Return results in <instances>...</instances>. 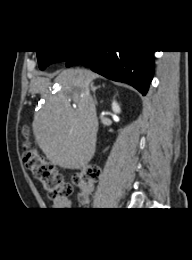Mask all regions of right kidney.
I'll use <instances>...</instances> for the list:
<instances>
[{
	"label": "right kidney",
	"mask_w": 192,
	"mask_h": 260,
	"mask_svg": "<svg viewBox=\"0 0 192 260\" xmlns=\"http://www.w3.org/2000/svg\"><path fill=\"white\" fill-rule=\"evenodd\" d=\"M112 110L114 113H120L121 109L116 101L112 102Z\"/></svg>",
	"instance_id": "obj_1"
}]
</instances>
